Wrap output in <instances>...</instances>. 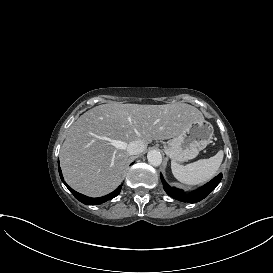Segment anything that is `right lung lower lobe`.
Masks as SVG:
<instances>
[{
  "mask_svg": "<svg viewBox=\"0 0 273 273\" xmlns=\"http://www.w3.org/2000/svg\"><path fill=\"white\" fill-rule=\"evenodd\" d=\"M58 170H59L61 180L66 185V187L71 191V193L74 195V197L77 198L80 202H82V203H84L86 205H97L99 203H104V202L116 197L120 193L121 188H122V186L120 185L115 191H113L112 193H110V194H108L106 196H103V197H100V198H90V197L84 196V195L74 191L72 188H70L66 184V182L63 180L62 172H61V169H60L59 166H58Z\"/></svg>",
  "mask_w": 273,
  "mask_h": 273,
  "instance_id": "1",
  "label": "right lung lower lobe"
}]
</instances>
